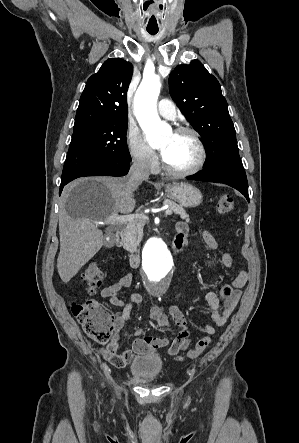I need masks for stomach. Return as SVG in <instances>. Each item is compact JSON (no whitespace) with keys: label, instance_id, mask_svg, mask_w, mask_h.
Returning <instances> with one entry per match:
<instances>
[{"label":"stomach","instance_id":"obj_1","mask_svg":"<svg viewBox=\"0 0 299 443\" xmlns=\"http://www.w3.org/2000/svg\"><path fill=\"white\" fill-rule=\"evenodd\" d=\"M165 192L184 207H196L202 202V193L188 183H172L165 186Z\"/></svg>","mask_w":299,"mask_h":443}]
</instances>
